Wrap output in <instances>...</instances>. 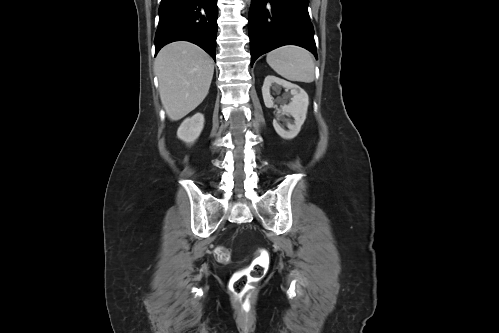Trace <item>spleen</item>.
I'll return each instance as SVG.
<instances>
[{
  "label": "spleen",
  "instance_id": "1",
  "mask_svg": "<svg viewBox=\"0 0 499 333\" xmlns=\"http://www.w3.org/2000/svg\"><path fill=\"white\" fill-rule=\"evenodd\" d=\"M268 65L282 77L305 83L315 79V64L312 54L298 46L288 45L267 54Z\"/></svg>",
  "mask_w": 499,
  "mask_h": 333
}]
</instances>
